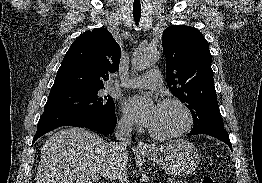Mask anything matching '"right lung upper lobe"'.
<instances>
[{"label": "right lung upper lobe", "mask_w": 262, "mask_h": 183, "mask_svg": "<svg viewBox=\"0 0 262 183\" xmlns=\"http://www.w3.org/2000/svg\"><path fill=\"white\" fill-rule=\"evenodd\" d=\"M121 49L103 28L80 35L67 51L50 92L99 88L119 68Z\"/></svg>", "instance_id": "obj_1"}]
</instances>
